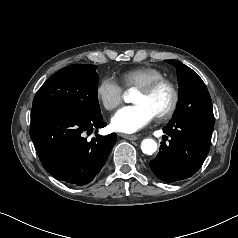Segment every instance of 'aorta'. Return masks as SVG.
<instances>
[{"label": "aorta", "instance_id": "762f6f07", "mask_svg": "<svg viewBox=\"0 0 238 238\" xmlns=\"http://www.w3.org/2000/svg\"><path fill=\"white\" fill-rule=\"evenodd\" d=\"M124 99L128 101L127 96ZM141 150L144 154L152 155L157 151V143L151 138H146L141 143Z\"/></svg>", "mask_w": 238, "mask_h": 238}]
</instances>
